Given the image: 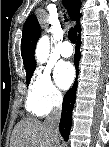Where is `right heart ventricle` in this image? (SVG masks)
I'll return each mask as SVG.
<instances>
[{"instance_id": "e07e8e85", "label": "right heart ventricle", "mask_w": 109, "mask_h": 147, "mask_svg": "<svg viewBox=\"0 0 109 147\" xmlns=\"http://www.w3.org/2000/svg\"><path fill=\"white\" fill-rule=\"evenodd\" d=\"M27 108L34 115H37V116L42 115L39 108L34 103H32L30 101H27Z\"/></svg>"}]
</instances>
